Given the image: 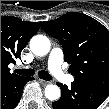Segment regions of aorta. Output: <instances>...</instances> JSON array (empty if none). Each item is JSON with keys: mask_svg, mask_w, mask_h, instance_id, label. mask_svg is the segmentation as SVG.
Instances as JSON below:
<instances>
[{"mask_svg": "<svg viewBox=\"0 0 109 109\" xmlns=\"http://www.w3.org/2000/svg\"><path fill=\"white\" fill-rule=\"evenodd\" d=\"M50 40L44 35H36L30 40V49L37 56H44L50 51ZM45 97L50 101H56L61 96L60 88L50 84L45 87Z\"/></svg>", "mask_w": 109, "mask_h": 109, "instance_id": "aorta-1", "label": "aorta"}]
</instances>
